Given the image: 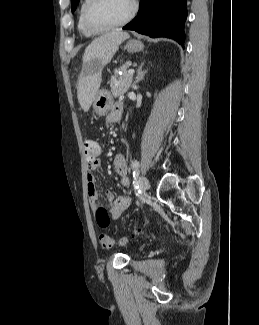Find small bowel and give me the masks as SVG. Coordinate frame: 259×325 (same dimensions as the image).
<instances>
[{
	"label": "small bowel",
	"mask_w": 259,
	"mask_h": 325,
	"mask_svg": "<svg viewBox=\"0 0 259 325\" xmlns=\"http://www.w3.org/2000/svg\"><path fill=\"white\" fill-rule=\"evenodd\" d=\"M123 112V104L121 102L114 103L109 115L107 116V123H117L121 120ZM101 154V147L98 144V154L94 158H88V175H87V190L88 196L92 204H95L98 199V190L96 186L95 173L100 170L101 162L99 155ZM113 167L116 174L120 177V184L123 187L130 185V180L127 176V163L122 154H117L113 160ZM105 199L111 204L110 216L112 218L119 217L130 205L131 199L127 195H115L113 192H107Z\"/></svg>",
	"instance_id": "small-bowel-1"
}]
</instances>
